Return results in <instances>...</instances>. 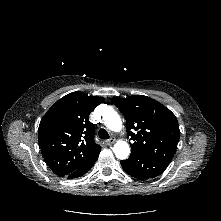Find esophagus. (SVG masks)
I'll return each mask as SVG.
<instances>
[{
  "instance_id": "esophagus-1",
  "label": "esophagus",
  "mask_w": 221,
  "mask_h": 221,
  "mask_svg": "<svg viewBox=\"0 0 221 221\" xmlns=\"http://www.w3.org/2000/svg\"><path fill=\"white\" fill-rule=\"evenodd\" d=\"M114 142H115V139L112 138V139L107 140L106 144L107 145H112Z\"/></svg>"
}]
</instances>
